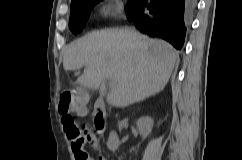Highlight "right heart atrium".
<instances>
[{
  "mask_svg": "<svg viewBox=\"0 0 242 160\" xmlns=\"http://www.w3.org/2000/svg\"><path fill=\"white\" fill-rule=\"evenodd\" d=\"M99 13L102 16H109L111 14V8L108 0H103L99 6Z\"/></svg>",
  "mask_w": 242,
  "mask_h": 160,
  "instance_id": "right-heart-atrium-1",
  "label": "right heart atrium"
}]
</instances>
